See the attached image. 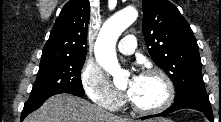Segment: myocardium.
Instances as JSON below:
<instances>
[{
    "label": "myocardium",
    "instance_id": "obj_1",
    "mask_svg": "<svg viewBox=\"0 0 221 122\" xmlns=\"http://www.w3.org/2000/svg\"><path fill=\"white\" fill-rule=\"evenodd\" d=\"M157 76L161 79L165 87V98L162 103L158 106L151 107V108H144L138 106L130 97L127 98L128 104L130 105L131 109L142 115H153L158 114L165 111L167 108L171 106L175 98V88L171 78L161 69L159 68H148L144 70L141 76Z\"/></svg>",
    "mask_w": 221,
    "mask_h": 122
}]
</instances>
